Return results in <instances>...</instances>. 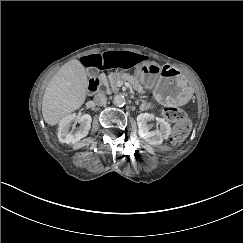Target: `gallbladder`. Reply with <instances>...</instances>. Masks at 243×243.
Returning a JSON list of instances; mask_svg holds the SVG:
<instances>
[{"instance_id":"bac80fb5","label":"gallbladder","mask_w":243,"mask_h":243,"mask_svg":"<svg viewBox=\"0 0 243 243\" xmlns=\"http://www.w3.org/2000/svg\"><path fill=\"white\" fill-rule=\"evenodd\" d=\"M97 72H98L97 69L94 68V67H89L88 70H87V73L92 75V76L96 75Z\"/></svg>"}]
</instances>
